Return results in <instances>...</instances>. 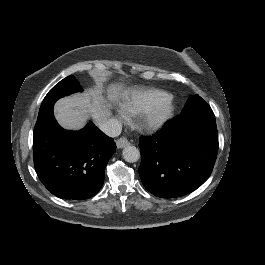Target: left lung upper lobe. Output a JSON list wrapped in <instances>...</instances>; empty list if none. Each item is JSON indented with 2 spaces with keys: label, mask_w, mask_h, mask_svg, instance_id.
I'll return each mask as SVG.
<instances>
[{
  "label": "left lung upper lobe",
  "mask_w": 265,
  "mask_h": 265,
  "mask_svg": "<svg viewBox=\"0 0 265 265\" xmlns=\"http://www.w3.org/2000/svg\"><path fill=\"white\" fill-rule=\"evenodd\" d=\"M206 104L207 103L199 95L190 96L181 113H186Z\"/></svg>",
  "instance_id": "obj_1"
}]
</instances>
